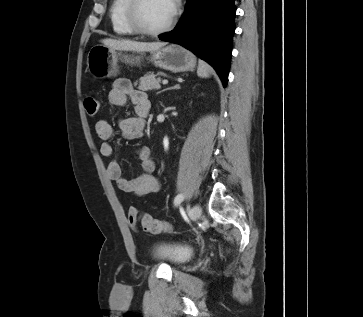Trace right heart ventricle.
<instances>
[{
	"label": "right heart ventricle",
	"mask_w": 363,
	"mask_h": 317,
	"mask_svg": "<svg viewBox=\"0 0 363 317\" xmlns=\"http://www.w3.org/2000/svg\"><path fill=\"white\" fill-rule=\"evenodd\" d=\"M128 0H113L109 9V16L114 33L121 36H132L134 32L125 20V8Z\"/></svg>",
	"instance_id": "e07e8e85"
}]
</instances>
